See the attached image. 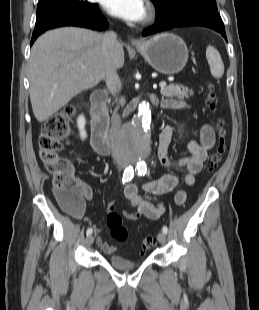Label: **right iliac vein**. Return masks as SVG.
Masks as SVG:
<instances>
[{
  "label": "right iliac vein",
  "mask_w": 259,
  "mask_h": 310,
  "mask_svg": "<svg viewBox=\"0 0 259 310\" xmlns=\"http://www.w3.org/2000/svg\"><path fill=\"white\" fill-rule=\"evenodd\" d=\"M94 242V236L93 235H89L87 238H86V245L87 246H91Z\"/></svg>",
  "instance_id": "63e3f726"
}]
</instances>
